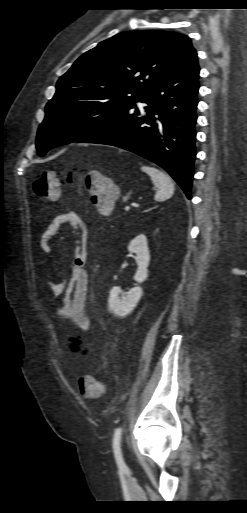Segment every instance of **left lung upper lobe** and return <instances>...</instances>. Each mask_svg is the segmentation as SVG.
I'll list each match as a JSON object with an SVG mask.
<instances>
[{
  "mask_svg": "<svg viewBox=\"0 0 247 513\" xmlns=\"http://www.w3.org/2000/svg\"><path fill=\"white\" fill-rule=\"evenodd\" d=\"M196 56L186 35L169 31L122 32L100 42L59 78L38 129V155L97 131Z\"/></svg>",
  "mask_w": 247,
  "mask_h": 513,
  "instance_id": "left-lung-upper-lobe-1",
  "label": "left lung upper lobe"
}]
</instances>
